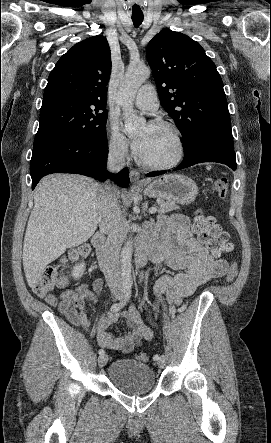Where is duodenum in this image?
Returning <instances> with one entry per match:
<instances>
[{"label":"duodenum","mask_w":271,"mask_h":443,"mask_svg":"<svg viewBox=\"0 0 271 443\" xmlns=\"http://www.w3.org/2000/svg\"><path fill=\"white\" fill-rule=\"evenodd\" d=\"M93 245L102 270L105 273L110 274L113 271L117 260L115 240L105 239L103 236L97 235L93 238ZM144 260L145 255L142 254L138 258V263L142 264Z\"/></svg>","instance_id":"410a0bca"}]
</instances>
